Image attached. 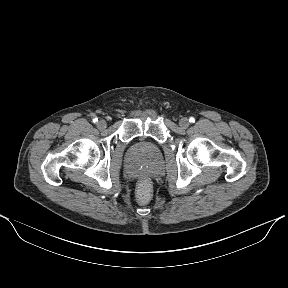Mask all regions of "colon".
<instances>
[{"label": "colon", "instance_id": "5ec220e1", "mask_svg": "<svg viewBox=\"0 0 288 288\" xmlns=\"http://www.w3.org/2000/svg\"><path fill=\"white\" fill-rule=\"evenodd\" d=\"M151 185L147 180H142L137 188V199L140 203H147L151 198Z\"/></svg>", "mask_w": 288, "mask_h": 288}]
</instances>
